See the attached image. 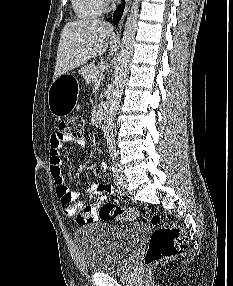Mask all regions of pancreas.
Returning <instances> with one entry per match:
<instances>
[{"label":"pancreas","mask_w":233,"mask_h":286,"mask_svg":"<svg viewBox=\"0 0 233 286\" xmlns=\"http://www.w3.org/2000/svg\"><path fill=\"white\" fill-rule=\"evenodd\" d=\"M100 71L95 66L94 63H90L88 65H85L79 70V74L83 76L87 84H90L94 82V79L92 78V75H99Z\"/></svg>","instance_id":"pancreas-1"}]
</instances>
